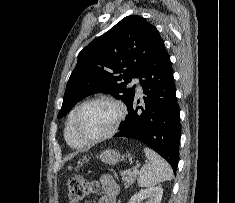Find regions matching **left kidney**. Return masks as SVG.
<instances>
[{
    "label": "left kidney",
    "mask_w": 235,
    "mask_h": 203,
    "mask_svg": "<svg viewBox=\"0 0 235 203\" xmlns=\"http://www.w3.org/2000/svg\"><path fill=\"white\" fill-rule=\"evenodd\" d=\"M162 195L163 188L161 186L150 187L134 194L128 203H141L145 199L146 201L144 203H160Z\"/></svg>",
    "instance_id": "1"
}]
</instances>
